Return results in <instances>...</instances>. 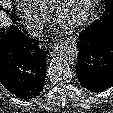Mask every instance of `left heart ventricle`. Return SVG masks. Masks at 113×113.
Segmentation results:
<instances>
[{
	"mask_svg": "<svg viewBox=\"0 0 113 113\" xmlns=\"http://www.w3.org/2000/svg\"><path fill=\"white\" fill-rule=\"evenodd\" d=\"M86 0H67L61 11V20L66 23L79 17Z\"/></svg>",
	"mask_w": 113,
	"mask_h": 113,
	"instance_id": "obj_1",
	"label": "left heart ventricle"
}]
</instances>
